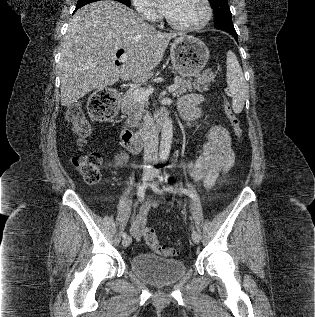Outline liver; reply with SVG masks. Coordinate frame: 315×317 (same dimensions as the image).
Segmentation results:
<instances>
[{
	"label": "liver",
	"instance_id": "6515ba94",
	"mask_svg": "<svg viewBox=\"0 0 315 317\" xmlns=\"http://www.w3.org/2000/svg\"><path fill=\"white\" fill-rule=\"evenodd\" d=\"M181 36L185 35L157 31L132 9L113 0L82 7L70 19L61 42V104L70 106L119 78L149 79L169 41ZM119 49H124L127 62L118 67L115 59Z\"/></svg>",
	"mask_w": 315,
	"mask_h": 317
}]
</instances>
